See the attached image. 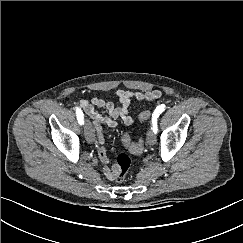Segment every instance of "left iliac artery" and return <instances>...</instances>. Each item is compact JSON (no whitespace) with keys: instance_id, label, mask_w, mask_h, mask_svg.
Wrapping results in <instances>:
<instances>
[{"instance_id":"left-iliac-artery-1","label":"left iliac artery","mask_w":243,"mask_h":243,"mask_svg":"<svg viewBox=\"0 0 243 243\" xmlns=\"http://www.w3.org/2000/svg\"><path fill=\"white\" fill-rule=\"evenodd\" d=\"M164 110H165V105H164V104L159 105V106L155 109V111H154V113H153V115H152L153 131H154L155 133H157V119H158L159 115H160Z\"/></svg>"}]
</instances>
